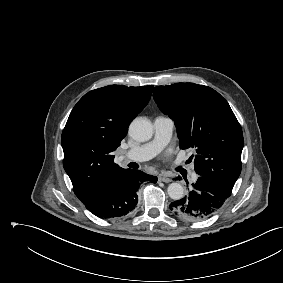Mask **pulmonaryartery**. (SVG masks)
I'll list each match as a JSON object with an SVG mask.
<instances>
[{
  "instance_id": "e3ab8cb5",
  "label": "pulmonary artery",
  "mask_w": 283,
  "mask_h": 283,
  "mask_svg": "<svg viewBox=\"0 0 283 283\" xmlns=\"http://www.w3.org/2000/svg\"><path fill=\"white\" fill-rule=\"evenodd\" d=\"M174 129V121L165 116H158L154 120V138L141 146L135 147L122 155L124 161L142 162L153 158L169 142ZM196 179V176H193Z\"/></svg>"
}]
</instances>
